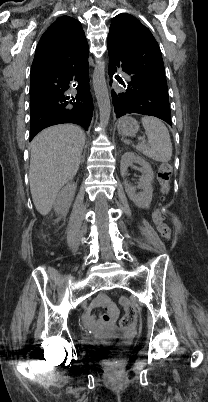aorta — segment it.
I'll use <instances>...</instances> for the list:
<instances>
[{
    "label": "aorta",
    "instance_id": "aorta-1",
    "mask_svg": "<svg viewBox=\"0 0 208 402\" xmlns=\"http://www.w3.org/2000/svg\"><path fill=\"white\" fill-rule=\"evenodd\" d=\"M93 88L99 108L100 126L105 128L109 122L111 104L105 80V64L100 62L94 68L93 72Z\"/></svg>",
    "mask_w": 208,
    "mask_h": 402
}]
</instances>
